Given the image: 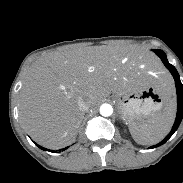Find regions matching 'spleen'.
<instances>
[{
	"instance_id": "1",
	"label": "spleen",
	"mask_w": 183,
	"mask_h": 183,
	"mask_svg": "<svg viewBox=\"0 0 183 183\" xmlns=\"http://www.w3.org/2000/svg\"><path fill=\"white\" fill-rule=\"evenodd\" d=\"M175 112V103L169 100L162 111L152 114L147 120L130 123L129 130L133 139L142 145H153L160 142L171 130Z\"/></svg>"
}]
</instances>
